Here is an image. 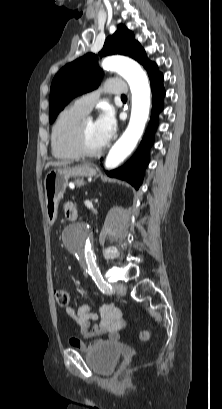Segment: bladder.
Listing matches in <instances>:
<instances>
[{
  "mask_svg": "<svg viewBox=\"0 0 222 409\" xmlns=\"http://www.w3.org/2000/svg\"><path fill=\"white\" fill-rule=\"evenodd\" d=\"M122 352L119 343L106 342L90 348L86 353V361L95 372L108 375L114 370Z\"/></svg>",
  "mask_w": 222,
  "mask_h": 409,
  "instance_id": "31cf9c89",
  "label": "bladder"
}]
</instances>
